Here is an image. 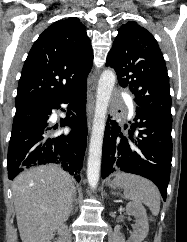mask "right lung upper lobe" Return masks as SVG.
Wrapping results in <instances>:
<instances>
[{"label":"right lung upper lobe","instance_id":"1","mask_svg":"<svg viewBox=\"0 0 187 242\" xmlns=\"http://www.w3.org/2000/svg\"><path fill=\"white\" fill-rule=\"evenodd\" d=\"M93 52L76 17L53 23L35 41L18 83L16 108H26L86 85Z\"/></svg>","mask_w":187,"mask_h":242}]
</instances>
